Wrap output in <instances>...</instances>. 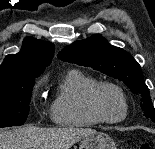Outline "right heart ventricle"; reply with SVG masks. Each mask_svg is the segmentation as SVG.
Instances as JSON below:
<instances>
[{
	"label": "right heart ventricle",
	"mask_w": 155,
	"mask_h": 149,
	"mask_svg": "<svg viewBox=\"0 0 155 149\" xmlns=\"http://www.w3.org/2000/svg\"><path fill=\"white\" fill-rule=\"evenodd\" d=\"M97 80L78 69L66 73L51 102L52 120L60 126L91 127L100 123L87 105V93Z\"/></svg>",
	"instance_id": "1"
}]
</instances>
